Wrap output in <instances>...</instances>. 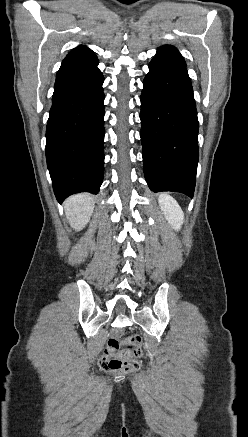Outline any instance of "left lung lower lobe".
Returning a JSON list of instances; mask_svg holds the SVG:
<instances>
[{"label":"left lung lower lobe","mask_w":248,"mask_h":437,"mask_svg":"<svg viewBox=\"0 0 248 437\" xmlns=\"http://www.w3.org/2000/svg\"><path fill=\"white\" fill-rule=\"evenodd\" d=\"M141 94L145 179L153 192L193 197L198 163V118L186 66L152 59Z\"/></svg>","instance_id":"obj_1"}]
</instances>
